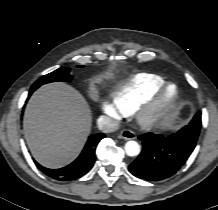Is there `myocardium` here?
Returning <instances> with one entry per match:
<instances>
[{
  "label": "myocardium",
  "instance_id": "obj_1",
  "mask_svg": "<svg viewBox=\"0 0 218 210\" xmlns=\"http://www.w3.org/2000/svg\"><path fill=\"white\" fill-rule=\"evenodd\" d=\"M170 87L174 88V94L167 99L166 95ZM180 95V88L177 84L164 83L147 102L135 110L138 125L145 130L164 125L174 114Z\"/></svg>",
  "mask_w": 218,
  "mask_h": 210
}]
</instances>
